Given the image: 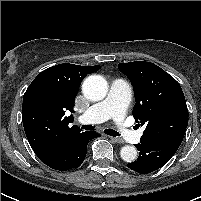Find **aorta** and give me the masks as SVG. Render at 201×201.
<instances>
[{
  "instance_id": "obj_1",
  "label": "aorta",
  "mask_w": 201,
  "mask_h": 201,
  "mask_svg": "<svg viewBox=\"0 0 201 201\" xmlns=\"http://www.w3.org/2000/svg\"><path fill=\"white\" fill-rule=\"evenodd\" d=\"M82 92L91 101L102 100L108 92L107 81L100 75H91L84 80ZM120 156L125 162H133L137 158V150L134 146L125 145L120 150Z\"/></svg>"
}]
</instances>
